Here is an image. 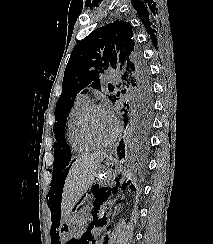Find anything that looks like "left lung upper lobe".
I'll return each mask as SVG.
<instances>
[{
    "label": "left lung upper lobe",
    "instance_id": "1",
    "mask_svg": "<svg viewBox=\"0 0 213 244\" xmlns=\"http://www.w3.org/2000/svg\"><path fill=\"white\" fill-rule=\"evenodd\" d=\"M110 70L122 74L129 98L127 106L152 113V87L148 67L135 45L131 25L116 20L91 32L71 53L55 110V150L62 154L69 151L65 141V125L77 93L89 87L100 90L102 76ZM122 92L126 93V89ZM109 98L117 100L115 96Z\"/></svg>",
    "mask_w": 213,
    "mask_h": 244
}]
</instances>
